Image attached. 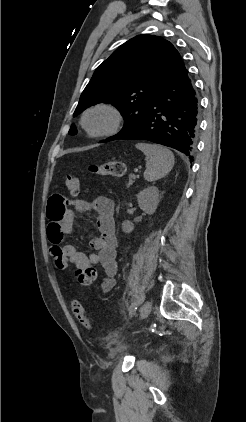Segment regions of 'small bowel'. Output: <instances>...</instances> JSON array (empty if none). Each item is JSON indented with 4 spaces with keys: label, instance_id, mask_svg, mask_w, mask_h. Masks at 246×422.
Returning a JSON list of instances; mask_svg holds the SVG:
<instances>
[{
    "label": "small bowel",
    "instance_id": "c3829d8e",
    "mask_svg": "<svg viewBox=\"0 0 246 422\" xmlns=\"http://www.w3.org/2000/svg\"><path fill=\"white\" fill-rule=\"evenodd\" d=\"M73 208H68V205ZM94 210L97 213L96 226L99 234L90 241L94 252L85 254L74 245L61 244L65 235L73 233V222L78 213ZM47 215L49 219L48 237L53 247H58L69 263L81 270L89 265L100 264L105 272L102 280V290L111 291L116 285L118 264L116 261L117 240L115 236L114 203L105 196L91 200L78 199L70 203L62 195L51 196L48 202Z\"/></svg>",
    "mask_w": 246,
    "mask_h": 422
}]
</instances>
